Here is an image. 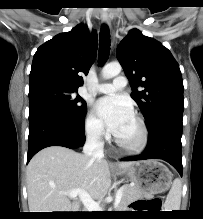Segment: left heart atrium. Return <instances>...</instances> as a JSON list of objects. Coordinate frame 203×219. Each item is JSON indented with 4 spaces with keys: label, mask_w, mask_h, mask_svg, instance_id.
Listing matches in <instances>:
<instances>
[{
    "label": "left heart atrium",
    "mask_w": 203,
    "mask_h": 219,
    "mask_svg": "<svg viewBox=\"0 0 203 219\" xmlns=\"http://www.w3.org/2000/svg\"><path fill=\"white\" fill-rule=\"evenodd\" d=\"M96 110L108 129L115 135L133 117L131 104L122 96H107L99 99Z\"/></svg>",
    "instance_id": "39dd6f15"
}]
</instances>
